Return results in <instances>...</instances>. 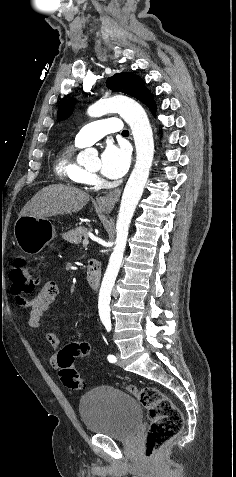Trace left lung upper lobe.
<instances>
[{
  "label": "left lung upper lobe",
  "instance_id": "1",
  "mask_svg": "<svg viewBox=\"0 0 236 477\" xmlns=\"http://www.w3.org/2000/svg\"><path fill=\"white\" fill-rule=\"evenodd\" d=\"M108 87L117 92H122L133 96L145 103L147 106L152 101V95L148 89L145 88L143 80L133 73H118L107 80ZM73 99L65 101L58 110V117L60 119L67 118L73 109Z\"/></svg>",
  "mask_w": 236,
  "mask_h": 477
}]
</instances>
